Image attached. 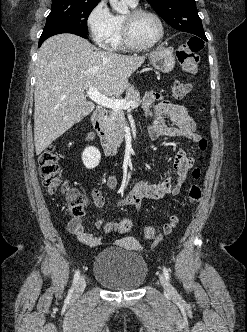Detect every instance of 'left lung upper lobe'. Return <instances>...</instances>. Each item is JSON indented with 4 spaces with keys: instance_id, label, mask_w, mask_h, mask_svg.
<instances>
[{
    "instance_id": "obj_1",
    "label": "left lung upper lobe",
    "mask_w": 247,
    "mask_h": 332,
    "mask_svg": "<svg viewBox=\"0 0 247 332\" xmlns=\"http://www.w3.org/2000/svg\"><path fill=\"white\" fill-rule=\"evenodd\" d=\"M173 28L206 39L195 0H147Z\"/></svg>"
}]
</instances>
